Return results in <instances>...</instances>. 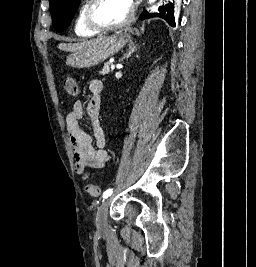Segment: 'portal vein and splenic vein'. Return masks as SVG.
I'll list each match as a JSON object with an SVG mask.
<instances>
[{
	"instance_id": "18ae733b",
	"label": "portal vein and splenic vein",
	"mask_w": 256,
	"mask_h": 267,
	"mask_svg": "<svg viewBox=\"0 0 256 267\" xmlns=\"http://www.w3.org/2000/svg\"><path fill=\"white\" fill-rule=\"evenodd\" d=\"M110 67H111V70H114V68H115V64H114V63H111V64H110Z\"/></svg>"
}]
</instances>
